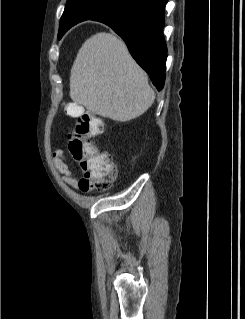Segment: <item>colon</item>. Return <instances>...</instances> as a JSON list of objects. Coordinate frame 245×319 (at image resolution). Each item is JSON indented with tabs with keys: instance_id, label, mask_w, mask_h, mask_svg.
I'll list each match as a JSON object with an SVG mask.
<instances>
[{
	"instance_id": "1",
	"label": "colon",
	"mask_w": 245,
	"mask_h": 319,
	"mask_svg": "<svg viewBox=\"0 0 245 319\" xmlns=\"http://www.w3.org/2000/svg\"><path fill=\"white\" fill-rule=\"evenodd\" d=\"M67 112L76 117L74 128L67 137V150L82 172L79 188L82 191L108 190L117 176L116 165L107 153L99 151L90 142L104 132L103 120L81 113L77 104H69Z\"/></svg>"
}]
</instances>
